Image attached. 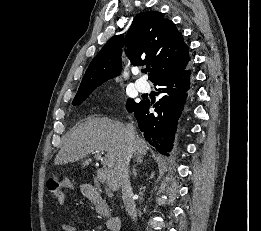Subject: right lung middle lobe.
Returning <instances> with one entry per match:
<instances>
[{
	"label": "right lung middle lobe",
	"mask_w": 261,
	"mask_h": 231,
	"mask_svg": "<svg viewBox=\"0 0 261 231\" xmlns=\"http://www.w3.org/2000/svg\"><path fill=\"white\" fill-rule=\"evenodd\" d=\"M92 92H87V93H83V94H78L75 96L72 104L73 105H79L81 104L84 100H86L88 98V96L91 94ZM138 105V103H136L133 99H129L127 101L126 107L128 111L133 110L136 106Z\"/></svg>",
	"instance_id": "right-lung-middle-lobe-1"
}]
</instances>
